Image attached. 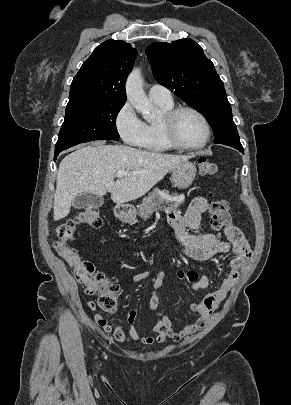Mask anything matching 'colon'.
Listing matches in <instances>:
<instances>
[{
    "label": "colon",
    "instance_id": "obj_1",
    "mask_svg": "<svg viewBox=\"0 0 291 405\" xmlns=\"http://www.w3.org/2000/svg\"><path fill=\"white\" fill-rule=\"evenodd\" d=\"M198 170L201 175H214L217 172L215 164L206 159L198 161ZM212 214L211 223L215 229L225 228L229 222L228 203L224 199L214 198L210 203ZM102 225V220L95 208H87L79 212L74 218L61 225L58 229V240L54 243L55 250L72 269L76 280L83 285L86 294L97 295L100 308L112 313L116 309V293L118 286L109 282L104 274L96 271L94 265L82 260L76 250L68 245L73 239L74 232L78 227L97 229ZM180 279L193 282L197 279L195 272H178Z\"/></svg>",
    "mask_w": 291,
    "mask_h": 405
}]
</instances>
